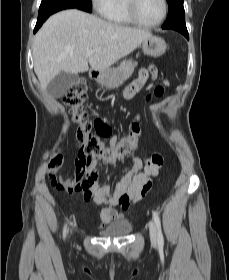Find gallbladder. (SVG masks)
Listing matches in <instances>:
<instances>
[{
    "label": "gallbladder",
    "instance_id": "bac80fb5",
    "mask_svg": "<svg viewBox=\"0 0 229 280\" xmlns=\"http://www.w3.org/2000/svg\"><path fill=\"white\" fill-rule=\"evenodd\" d=\"M78 78L77 74L60 72L47 87L48 93L54 98L62 97Z\"/></svg>",
    "mask_w": 229,
    "mask_h": 280
}]
</instances>
